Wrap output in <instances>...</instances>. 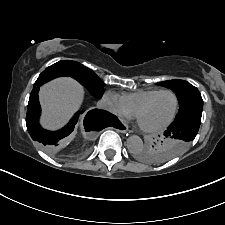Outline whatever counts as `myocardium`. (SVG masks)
Listing matches in <instances>:
<instances>
[{"label":"myocardium","instance_id":"1","mask_svg":"<svg viewBox=\"0 0 225 225\" xmlns=\"http://www.w3.org/2000/svg\"><path fill=\"white\" fill-rule=\"evenodd\" d=\"M163 93H170L174 96L175 98V108L173 110V113L171 115V117L166 121L164 122L163 124L159 125V126H156V127H145L143 125H141L140 123V115L141 113L144 111V109L157 97L159 96L160 94H163ZM179 106H180V100H179V96L178 94L171 90V89H162V90H159L158 92L154 93L152 96H150L147 100H145L136 110L134 116L136 117L137 121H138V124L140 126V128L145 131V132H149V133H153V132H160V131H163L164 129H166L167 127H169L173 121L175 120L177 114H178V111H179Z\"/></svg>","mask_w":225,"mask_h":225}]
</instances>
